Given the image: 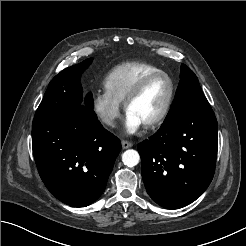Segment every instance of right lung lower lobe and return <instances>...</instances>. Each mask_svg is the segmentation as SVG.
Wrapping results in <instances>:
<instances>
[{
    "mask_svg": "<svg viewBox=\"0 0 246 246\" xmlns=\"http://www.w3.org/2000/svg\"><path fill=\"white\" fill-rule=\"evenodd\" d=\"M32 149L48 190L63 203L85 207L105 190L121 143L92 109L80 107L63 118L34 119Z\"/></svg>",
    "mask_w": 246,
    "mask_h": 246,
    "instance_id": "98d812e1",
    "label": "right lung lower lobe"
}]
</instances>
